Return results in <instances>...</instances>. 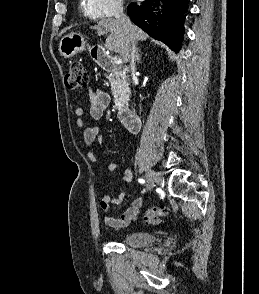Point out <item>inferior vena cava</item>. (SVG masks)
<instances>
[{"label": "inferior vena cava", "mask_w": 259, "mask_h": 294, "mask_svg": "<svg viewBox=\"0 0 259 294\" xmlns=\"http://www.w3.org/2000/svg\"><path fill=\"white\" fill-rule=\"evenodd\" d=\"M115 18L120 22L121 26L123 27L126 35H127V43H128V56L131 66L132 74L135 73V61H136V40L133 35V25L129 19L124 14L123 6L119 3L116 7Z\"/></svg>", "instance_id": "inferior-vena-cava-1"}]
</instances>
